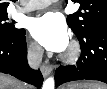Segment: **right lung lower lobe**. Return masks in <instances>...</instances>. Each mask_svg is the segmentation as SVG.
Here are the masks:
<instances>
[{"instance_id":"98d812e1","label":"right lung lower lobe","mask_w":107,"mask_h":89,"mask_svg":"<svg viewBox=\"0 0 107 89\" xmlns=\"http://www.w3.org/2000/svg\"><path fill=\"white\" fill-rule=\"evenodd\" d=\"M26 57L25 30L12 39L0 36V72L40 87L43 76L40 70H33L28 66Z\"/></svg>"}]
</instances>
